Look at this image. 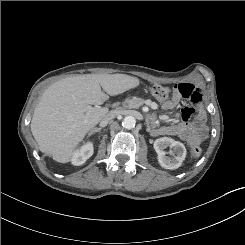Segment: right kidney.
Instances as JSON below:
<instances>
[{
    "instance_id": "obj_1",
    "label": "right kidney",
    "mask_w": 245,
    "mask_h": 245,
    "mask_svg": "<svg viewBox=\"0 0 245 245\" xmlns=\"http://www.w3.org/2000/svg\"><path fill=\"white\" fill-rule=\"evenodd\" d=\"M93 144L91 142L85 143L79 150H76L72 156L71 162L74 165H82L93 155Z\"/></svg>"
}]
</instances>
